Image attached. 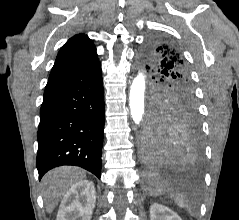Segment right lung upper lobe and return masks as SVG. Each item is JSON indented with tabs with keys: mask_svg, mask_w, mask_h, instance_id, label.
Segmentation results:
<instances>
[{
	"mask_svg": "<svg viewBox=\"0 0 239 220\" xmlns=\"http://www.w3.org/2000/svg\"><path fill=\"white\" fill-rule=\"evenodd\" d=\"M96 48L85 34L70 38L59 51L49 79H56L97 61Z\"/></svg>",
	"mask_w": 239,
	"mask_h": 220,
	"instance_id": "right-lung-upper-lobe-1",
	"label": "right lung upper lobe"
}]
</instances>
